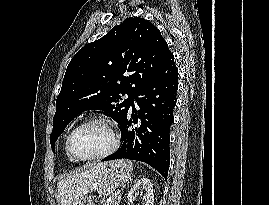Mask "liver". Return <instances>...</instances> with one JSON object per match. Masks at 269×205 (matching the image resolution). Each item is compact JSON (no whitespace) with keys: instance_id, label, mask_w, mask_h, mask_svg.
I'll use <instances>...</instances> for the list:
<instances>
[{"instance_id":"obj_1","label":"liver","mask_w":269,"mask_h":205,"mask_svg":"<svg viewBox=\"0 0 269 205\" xmlns=\"http://www.w3.org/2000/svg\"><path fill=\"white\" fill-rule=\"evenodd\" d=\"M107 165V162L93 163L84 171L59 181L57 188L61 205H71L74 200L94 191L101 182Z\"/></svg>"}]
</instances>
